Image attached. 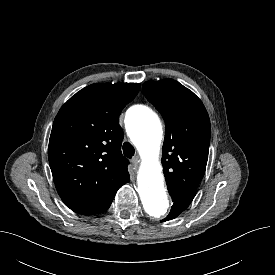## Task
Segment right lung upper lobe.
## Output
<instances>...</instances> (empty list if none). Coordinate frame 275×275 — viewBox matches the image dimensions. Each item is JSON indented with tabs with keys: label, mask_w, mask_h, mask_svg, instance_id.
<instances>
[{
	"label": "right lung upper lobe",
	"mask_w": 275,
	"mask_h": 275,
	"mask_svg": "<svg viewBox=\"0 0 275 275\" xmlns=\"http://www.w3.org/2000/svg\"><path fill=\"white\" fill-rule=\"evenodd\" d=\"M139 84H92L59 110L51 131L48 159L63 202L74 212L106 211L117 190L129 182L119 115Z\"/></svg>",
	"instance_id": "1"
}]
</instances>
